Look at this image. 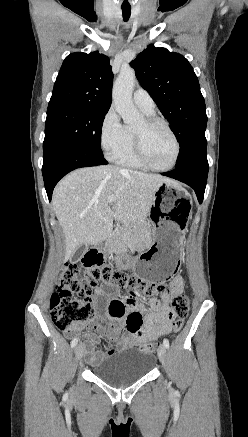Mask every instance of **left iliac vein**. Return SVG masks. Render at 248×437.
I'll return each instance as SVG.
<instances>
[{
    "label": "left iliac vein",
    "instance_id": "1",
    "mask_svg": "<svg viewBox=\"0 0 248 437\" xmlns=\"http://www.w3.org/2000/svg\"><path fill=\"white\" fill-rule=\"evenodd\" d=\"M166 356V347L164 345H160V347L158 348V358L163 365L165 364Z\"/></svg>",
    "mask_w": 248,
    "mask_h": 437
}]
</instances>
